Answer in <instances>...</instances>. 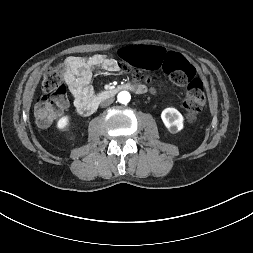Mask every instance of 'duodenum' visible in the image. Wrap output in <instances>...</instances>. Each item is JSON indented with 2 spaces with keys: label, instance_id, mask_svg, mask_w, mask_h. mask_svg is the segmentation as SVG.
<instances>
[{
  "label": "duodenum",
  "instance_id": "obj_1",
  "mask_svg": "<svg viewBox=\"0 0 253 253\" xmlns=\"http://www.w3.org/2000/svg\"><path fill=\"white\" fill-rule=\"evenodd\" d=\"M122 90H132V91H136L135 87L133 85H121L118 87H114L108 90H105L103 92H101L99 95H97L96 97L88 100L87 102L77 106V110L81 115L84 116H88L93 114L101 101L109 99L113 96H115L118 92L122 91Z\"/></svg>",
  "mask_w": 253,
  "mask_h": 253
}]
</instances>
